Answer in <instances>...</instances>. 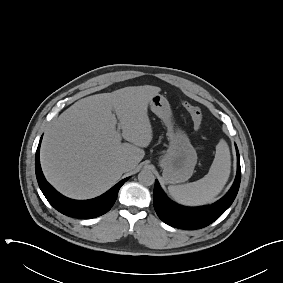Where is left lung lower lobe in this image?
<instances>
[{"mask_svg":"<svg viewBox=\"0 0 283 283\" xmlns=\"http://www.w3.org/2000/svg\"><path fill=\"white\" fill-rule=\"evenodd\" d=\"M237 153V174L228 193L216 203L202 207H185L172 202L162 191L158 181L154 187V208L159 218L166 224L181 229H200L218 219L233 203L240 186L241 168Z\"/></svg>","mask_w":283,"mask_h":283,"instance_id":"obj_1","label":"left lung lower lobe"}]
</instances>
